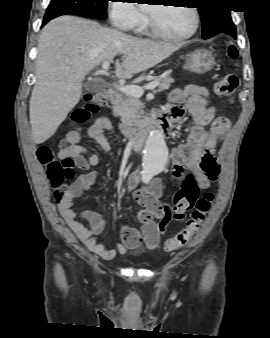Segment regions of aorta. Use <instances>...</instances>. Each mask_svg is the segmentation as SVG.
Instances as JSON below:
<instances>
[{
    "label": "aorta",
    "mask_w": 270,
    "mask_h": 338,
    "mask_svg": "<svg viewBox=\"0 0 270 338\" xmlns=\"http://www.w3.org/2000/svg\"><path fill=\"white\" fill-rule=\"evenodd\" d=\"M168 164V153L163 133L152 130L146 141L143 155V178L150 179L162 172Z\"/></svg>",
    "instance_id": "1"
}]
</instances>
